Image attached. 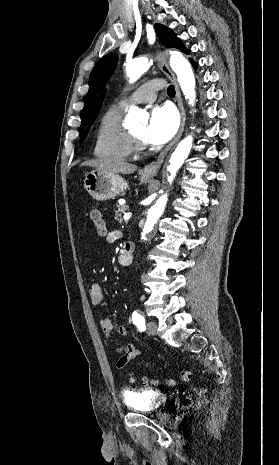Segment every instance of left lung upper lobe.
I'll list each match as a JSON object with an SVG mask.
<instances>
[{"label": "left lung upper lobe", "instance_id": "5c2ea615", "mask_svg": "<svg viewBox=\"0 0 279 465\" xmlns=\"http://www.w3.org/2000/svg\"><path fill=\"white\" fill-rule=\"evenodd\" d=\"M155 29L160 42L167 48L174 47L185 53H189V51L183 46L180 39L177 38L176 34L171 29L161 24H156ZM116 62L117 56L114 54H108L101 58L94 66L89 78V91L87 93L85 105L81 113L80 133H82L89 119L91 109L93 107L100 85L113 73Z\"/></svg>", "mask_w": 279, "mask_h": 465}]
</instances>
